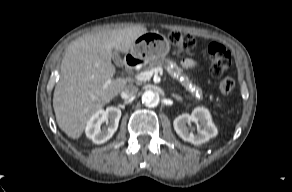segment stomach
I'll return each mask as SVG.
<instances>
[{"label":"stomach","instance_id":"1","mask_svg":"<svg viewBox=\"0 0 292 192\" xmlns=\"http://www.w3.org/2000/svg\"><path fill=\"white\" fill-rule=\"evenodd\" d=\"M169 50L168 39L158 31H151L135 40L131 48V54L145 62H152L164 58Z\"/></svg>","mask_w":292,"mask_h":192}]
</instances>
